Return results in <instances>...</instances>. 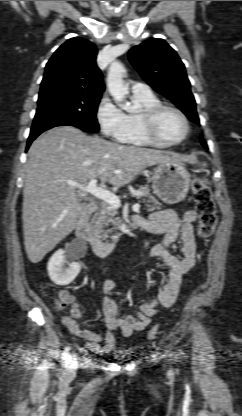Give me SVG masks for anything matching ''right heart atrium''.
<instances>
[{"mask_svg":"<svg viewBox=\"0 0 242 416\" xmlns=\"http://www.w3.org/2000/svg\"><path fill=\"white\" fill-rule=\"evenodd\" d=\"M96 119L104 135L121 141L127 131L126 114L109 98L103 97L96 110Z\"/></svg>","mask_w":242,"mask_h":416,"instance_id":"obj_1","label":"right heart atrium"}]
</instances>
